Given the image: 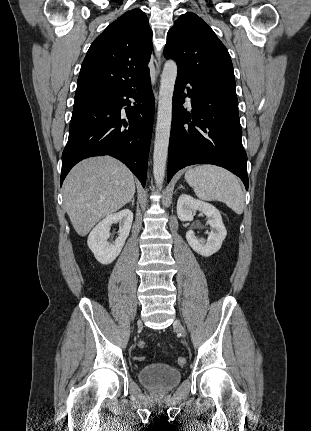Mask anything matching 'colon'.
I'll return each mask as SVG.
<instances>
[{
    "label": "colon",
    "mask_w": 311,
    "mask_h": 431,
    "mask_svg": "<svg viewBox=\"0 0 311 431\" xmlns=\"http://www.w3.org/2000/svg\"><path fill=\"white\" fill-rule=\"evenodd\" d=\"M138 346H139V348H140V349H144V348L146 347V343H145L144 341H141V342L138 344ZM135 359H136L137 361H143V360L145 359V357H144L143 355H137V356H135ZM177 363H178V365H180V366H184V365L186 364V359H185L184 357H179V358L177 359Z\"/></svg>",
    "instance_id": "colon-1"
}]
</instances>
